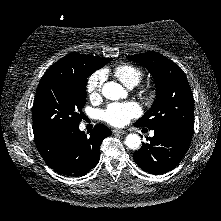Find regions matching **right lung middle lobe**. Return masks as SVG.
<instances>
[{"label": "right lung middle lobe", "mask_w": 221, "mask_h": 221, "mask_svg": "<svg viewBox=\"0 0 221 221\" xmlns=\"http://www.w3.org/2000/svg\"><path fill=\"white\" fill-rule=\"evenodd\" d=\"M90 75V71L82 75H43L32 110L35 142L80 123L82 112L79 111L86 102V83Z\"/></svg>", "instance_id": "right-lung-middle-lobe-1"}]
</instances>
